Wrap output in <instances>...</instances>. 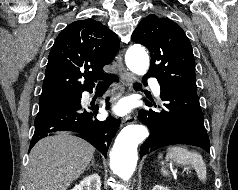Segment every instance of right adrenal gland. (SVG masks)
I'll return each instance as SVG.
<instances>
[{"label": "right adrenal gland", "mask_w": 238, "mask_h": 190, "mask_svg": "<svg viewBox=\"0 0 238 190\" xmlns=\"http://www.w3.org/2000/svg\"><path fill=\"white\" fill-rule=\"evenodd\" d=\"M95 167V166H98V164H95L94 160L91 162V164L87 167V170L91 167Z\"/></svg>", "instance_id": "2a0ac1e0"}]
</instances>
